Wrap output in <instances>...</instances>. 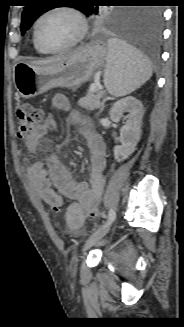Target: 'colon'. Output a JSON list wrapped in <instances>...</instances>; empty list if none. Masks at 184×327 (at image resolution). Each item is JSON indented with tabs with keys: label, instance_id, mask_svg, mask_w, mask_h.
<instances>
[{
	"label": "colon",
	"instance_id": "1",
	"mask_svg": "<svg viewBox=\"0 0 184 327\" xmlns=\"http://www.w3.org/2000/svg\"><path fill=\"white\" fill-rule=\"evenodd\" d=\"M43 119V112L38 107L32 104H22L18 107L16 112V121L18 125V137L22 139H29L38 130ZM53 211L58 212V208H52ZM88 215L95 218L98 215L97 209H92Z\"/></svg>",
	"mask_w": 184,
	"mask_h": 327
}]
</instances>
